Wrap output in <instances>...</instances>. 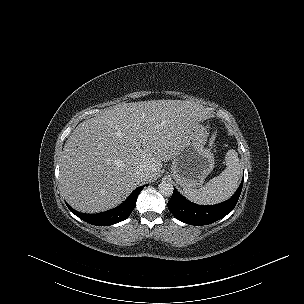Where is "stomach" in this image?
Returning <instances> with one entry per match:
<instances>
[{
  "label": "stomach",
  "mask_w": 304,
  "mask_h": 304,
  "mask_svg": "<svg viewBox=\"0 0 304 304\" xmlns=\"http://www.w3.org/2000/svg\"><path fill=\"white\" fill-rule=\"evenodd\" d=\"M209 128L195 124L184 146L176 153L171 165V175L183 189L200 187L214 168V157L205 144Z\"/></svg>",
  "instance_id": "0dacf381"
}]
</instances>
